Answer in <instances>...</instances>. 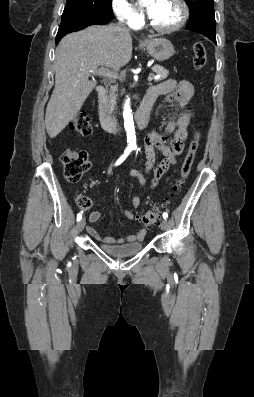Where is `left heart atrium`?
Listing matches in <instances>:
<instances>
[{
  "label": "left heart atrium",
  "mask_w": 254,
  "mask_h": 397,
  "mask_svg": "<svg viewBox=\"0 0 254 397\" xmlns=\"http://www.w3.org/2000/svg\"><path fill=\"white\" fill-rule=\"evenodd\" d=\"M148 12H149V13L151 12V8H148Z\"/></svg>",
  "instance_id": "left-heart-atrium-1"
}]
</instances>
